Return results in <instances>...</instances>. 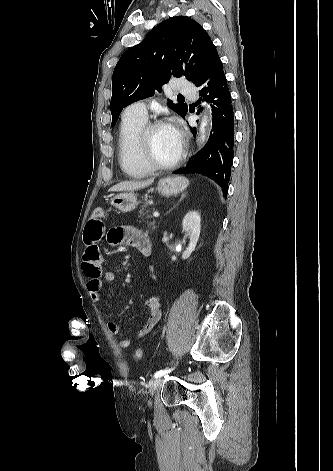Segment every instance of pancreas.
Returning <instances> with one entry per match:
<instances>
[{
    "mask_svg": "<svg viewBox=\"0 0 333 471\" xmlns=\"http://www.w3.org/2000/svg\"><path fill=\"white\" fill-rule=\"evenodd\" d=\"M149 206V203H146L142 206V208L139 211V217L142 219L140 222H145L146 218H151V215H148L147 213L149 212L146 210V208ZM147 226L151 229H155V222H147Z\"/></svg>",
    "mask_w": 333,
    "mask_h": 471,
    "instance_id": "cf45deb5",
    "label": "pancreas"
}]
</instances>
